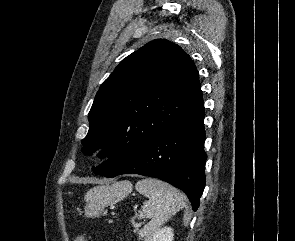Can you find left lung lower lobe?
Segmentation results:
<instances>
[{
  "mask_svg": "<svg viewBox=\"0 0 295 241\" xmlns=\"http://www.w3.org/2000/svg\"><path fill=\"white\" fill-rule=\"evenodd\" d=\"M204 102L152 139L110 176L139 174L181 189L196 211L205 187Z\"/></svg>",
  "mask_w": 295,
  "mask_h": 241,
  "instance_id": "left-lung-lower-lobe-1",
  "label": "left lung lower lobe"
}]
</instances>
